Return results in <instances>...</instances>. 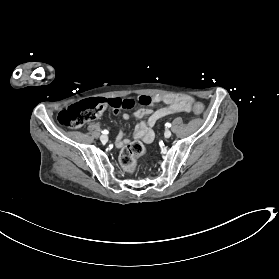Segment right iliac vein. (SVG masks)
Wrapping results in <instances>:
<instances>
[{
    "instance_id": "1",
    "label": "right iliac vein",
    "mask_w": 279,
    "mask_h": 279,
    "mask_svg": "<svg viewBox=\"0 0 279 279\" xmlns=\"http://www.w3.org/2000/svg\"><path fill=\"white\" fill-rule=\"evenodd\" d=\"M100 140H101V142H103V143H106L107 141H108V136L107 135H101L100 136Z\"/></svg>"
}]
</instances>
